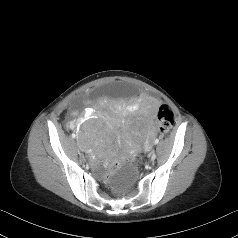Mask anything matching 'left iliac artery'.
<instances>
[{"label":"left iliac artery","mask_w":238,"mask_h":238,"mask_svg":"<svg viewBox=\"0 0 238 238\" xmlns=\"http://www.w3.org/2000/svg\"><path fill=\"white\" fill-rule=\"evenodd\" d=\"M155 144H158L159 143V139L157 138L155 141H154Z\"/></svg>","instance_id":"44dca946"}]
</instances>
